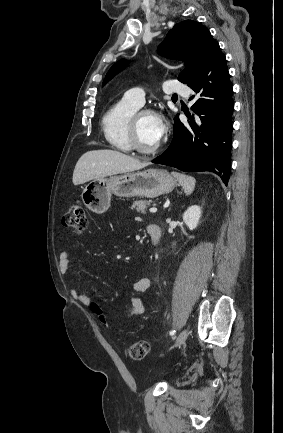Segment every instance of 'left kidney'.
<instances>
[{
	"label": "left kidney",
	"instance_id": "obj_1",
	"mask_svg": "<svg viewBox=\"0 0 283 433\" xmlns=\"http://www.w3.org/2000/svg\"><path fill=\"white\" fill-rule=\"evenodd\" d=\"M201 217V207L197 205L190 206L183 214V220L190 230H194Z\"/></svg>",
	"mask_w": 283,
	"mask_h": 433
}]
</instances>
